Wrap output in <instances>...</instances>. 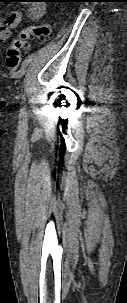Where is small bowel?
<instances>
[{
  "instance_id": "c3829d8e",
  "label": "small bowel",
  "mask_w": 127,
  "mask_h": 303,
  "mask_svg": "<svg viewBox=\"0 0 127 303\" xmlns=\"http://www.w3.org/2000/svg\"><path fill=\"white\" fill-rule=\"evenodd\" d=\"M28 9V17L33 21L41 20L45 14V5L41 0L33 1ZM22 11L10 12L5 20L0 19V41H5L9 35L10 30L16 28L22 21Z\"/></svg>"
}]
</instances>
